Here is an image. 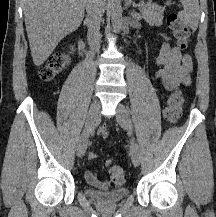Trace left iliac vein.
<instances>
[{"label": "left iliac vein", "mask_w": 216, "mask_h": 217, "mask_svg": "<svg viewBox=\"0 0 216 217\" xmlns=\"http://www.w3.org/2000/svg\"><path fill=\"white\" fill-rule=\"evenodd\" d=\"M116 119L118 124L131 132L132 129V122L129 114V110L125 105L122 103L118 104L117 106V114ZM131 159L132 163L135 167L139 166L140 164V150L137 144H134L133 148L131 149Z\"/></svg>", "instance_id": "left-iliac-vein-1"}]
</instances>
